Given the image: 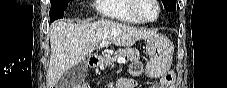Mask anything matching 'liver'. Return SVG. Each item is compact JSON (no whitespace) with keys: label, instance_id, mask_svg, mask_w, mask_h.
Masks as SVG:
<instances>
[{"label":"liver","instance_id":"1","mask_svg":"<svg viewBox=\"0 0 227 88\" xmlns=\"http://www.w3.org/2000/svg\"><path fill=\"white\" fill-rule=\"evenodd\" d=\"M156 35L155 31L125 25L111 20L74 24L59 20L51 25L50 64L47 71V86H56L63 74L84 61L101 42L130 47L136 41Z\"/></svg>","mask_w":227,"mask_h":88}]
</instances>
